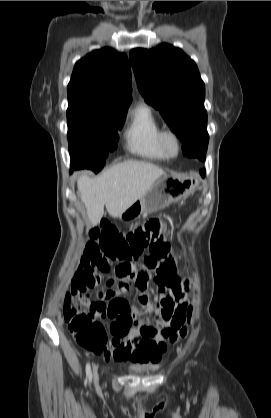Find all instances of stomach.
<instances>
[{"instance_id":"0dacf381","label":"stomach","mask_w":271,"mask_h":418,"mask_svg":"<svg viewBox=\"0 0 271 418\" xmlns=\"http://www.w3.org/2000/svg\"><path fill=\"white\" fill-rule=\"evenodd\" d=\"M199 179L197 173L181 176L163 175L153 183L143 197L126 209L119 219L131 221L143 214L162 210L194 193L199 185Z\"/></svg>"}]
</instances>
